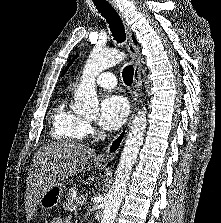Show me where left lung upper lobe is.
<instances>
[{
	"label": "left lung upper lobe",
	"mask_w": 221,
	"mask_h": 223,
	"mask_svg": "<svg viewBox=\"0 0 221 223\" xmlns=\"http://www.w3.org/2000/svg\"><path fill=\"white\" fill-rule=\"evenodd\" d=\"M76 58H77V55L73 58L72 61L69 62V64L67 65V67H66V69H65V71H64V74H65V72L67 71V69L69 68V66L72 64V62H73Z\"/></svg>",
	"instance_id": "obj_1"
}]
</instances>
